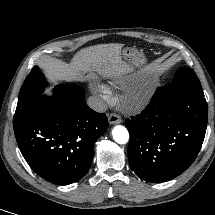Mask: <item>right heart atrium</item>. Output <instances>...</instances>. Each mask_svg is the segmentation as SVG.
<instances>
[{
  "label": "right heart atrium",
  "mask_w": 215,
  "mask_h": 215,
  "mask_svg": "<svg viewBox=\"0 0 215 215\" xmlns=\"http://www.w3.org/2000/svg\"><path fill=\"white\" fill-rule=\"evenodd\" d=\"M94 90L102 100L109 101L111 99L110 92L105 85L97 84L94 86Z\"/></svg>",
  "instance_id": "obj_1"
}]
</instances>
